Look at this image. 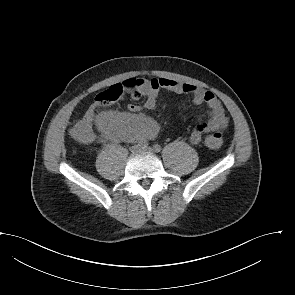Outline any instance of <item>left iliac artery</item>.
<instances>
[{
	"instance_id": "obj_1",
	"label": "left iliac artery",
	"mask_w": 295,
	"mask_h": 295,
	"mask_svg": "<svg viewBox=\"0 0 295 295\" xmlns=\"http://www.w3.org/2000/svg\"><path fill=\"white\" fill-rule=\"evenodd\" d=\"M153 149L155 152H160L162 150L161 146L159 144H154L153 145Z\"/></svg>"
}]
</instances>
